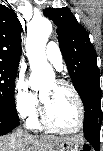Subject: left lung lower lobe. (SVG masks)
Masks as SVG:
<instances>
[{
    "label": "left lung lower lobe",
    "mask_w": 103,
    "mask_h": 151,
    "mask_svg": "<svg viewBox=\"0 0 103 151\" xmlns=\"http://www.w3.org/2000/svg\"><path fill=\"white\" fill-rule=\"evenodd\" d=\"M80 97L85 107L84 136L92 147H100V129L103 118L101 110L100 77H88Z\"/></svg>",
    "instance_id": "left-lung-lower-lobe-1"
}]
</instances>
